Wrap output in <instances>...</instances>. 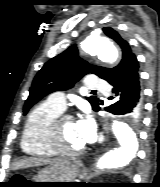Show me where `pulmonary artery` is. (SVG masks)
I'll use <instances>...</instances> for the list:
<instances>
[{"label": "pulmonary artery", "instance_id": "pulmonary-artery-1", "mask_svg": "<svg viewBox=\"0 0 160 187\" xmlns=\"http://www.w3.org/2000/svg\"><path fill=\"white\" fill-rule=\"evenodd\" d=\"M84 85L86 89H93L97 91H107L109 89V86L105 81L100 80L94 76L88 77L85 80ZM48 101L62 111L66 107V98L63 92L59 91L51 94L48 98Z\"/></svg>", "mask_w": 160, "mask_h": 187}]
</instances>
